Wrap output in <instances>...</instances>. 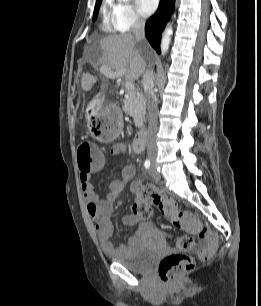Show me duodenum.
Listing matches in <instances>:
<instances>
[{
	"mask_svg": "<svg viewBox=\"0 0 261 306\" xmlns=\"http://www.w3.org/2000/svg\"><path fill=\"white\" fill-rule=\"evenodd\" d=\"M147 139V131L146 129L140 130L133 139L132 148L136 153H140L144 150Z\"/></svg>",
	"mask_w": 261,
	"mask_h": 306,
	"instance_id": "duodenum-1",
	"label": "duodenum"
}]
</instances>
